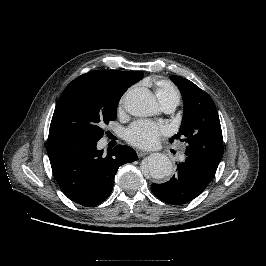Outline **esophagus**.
Segmentation results:
<instances>
[{
  "label": "esophagus",
  "instance_id": "34e87169",
  "mask_svg": "<svg viewBox=\"0 0 266 266\" xmlns=\"http://www.w3.org/2000/svg\"><path fill=\"white\" fill-rule=\"evenodd\" d=\"M136 153H137L138 157H144V156H146L147 154H149L148 151H144V150H141V149H137V150H136Z\"/></svg>",
  "mask_w": 266,
  "mask_h": 266
}]
</instances>
